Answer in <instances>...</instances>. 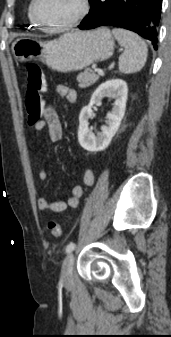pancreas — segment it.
<instances>
[{
  "label": "pancreas",
  "mask_w": 171,
  "mask_h": 337,
  "mask_svg": "<svg viewBox=\"0 0 171 337\" xmlns=\"http://www.w3.org/2000/svg\"><path fill=\"white\" fill-rule=\"evenodd\" d=\"M98 79L99 76L90 68H86L77 76L80 88H87L93 85Z\"/></svg>",
  "instance_id": "cf45deb5"
}]
</instances>
